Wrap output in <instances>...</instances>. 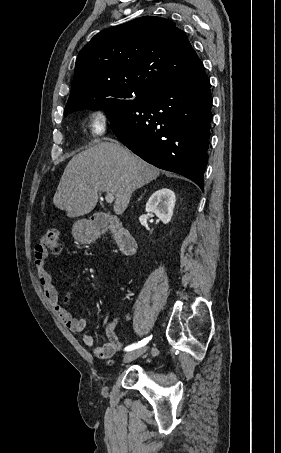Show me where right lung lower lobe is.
Listing matches in <instances>:
<instances>
[{
	"mask_svg": "<svg viewBox=\"0 0 281 453\" xmlns=\"http://www.w3.org/2000/svg\"><path fill=\"white\" fill-rule=\"evenodd\" d=\"M212 95L198 58L171 80L134 100L103 110L117 138L148 163L183 175L204 189Z\"/></svg>",
	"mask_w": 281,
	"mask_h": 453,
	"instance_id": "98d812e1",
	"label": "right lung lower lobe"
}]
</instances>
